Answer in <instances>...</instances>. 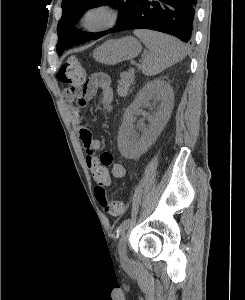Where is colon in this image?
<instances>
[{
	"label": "colon",
	"instance_id": "1",
	"mask_svg": "<svg viewBox=\"0 0 245 300\" xmlns=\"http://www.w3.org/2000/svg\"><path fill=\"white\" fill-rule=\"evenodd\" d=\"M57 78L67 87L64 89V96L68 101H73L80 93L85 82L86 73L77 57L68 58L57 72ZM95 195L104 210L113 216H119L124 212L125 205L120 200L108 201L106 188L95 189Z\"/></svg>",
	"mask_w": 245,
	"mask_h": 300
}]
</instances>
